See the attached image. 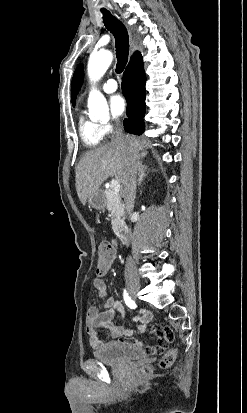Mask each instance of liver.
<instances>
[{
  "instance_id": "6515ba94",
  "label": "liver",
  "mask_w": 247,
  "mask_h": 413,
  "mask_svg": "<svg viewBox=\"0 0 247 413\" xmlns=\"http://www.w3.org/2000/svg\"><path fill=\"white\" fill-rule=\"evenodd\" d=\"M131 138L138 156H146L147 152L144 148L150 146V142L139 136H131ZM126 146L127 142L120 144L111 140L107 144L84 152L75 172L76 190L82 204H86L88 196L98 190L108 176H115L119 182H122L127 160Z\"/></svg>"
}]
</instances>
